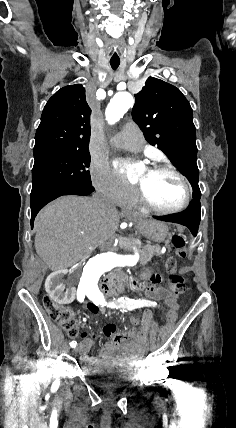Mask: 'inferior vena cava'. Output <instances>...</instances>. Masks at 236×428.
<instances>
[{
    "label": "inferior vena cava",
    "mask_w": 236,
    "mask_h": 428,
    "mask_svg": "<svg viewBox=\"0 0 236 428\" xmlns=\"http://www.w3.org/2000/svg\"><path fill=\"white\" fill-rule=\"evenodd\" d=\"M95 198H97V200H101V202H103V198H102V196H99V194H97V196H95Z\"/></svg>",
    "instance_id": "1"
}]
</instances>
